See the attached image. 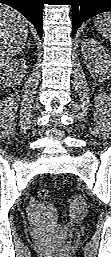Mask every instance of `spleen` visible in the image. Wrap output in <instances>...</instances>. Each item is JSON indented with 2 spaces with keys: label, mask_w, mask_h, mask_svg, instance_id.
<instances>
[{
  "label": "spleen",
  "mask_w": 111,
  "mask_h": 257,
  "mask_svg": "<svg viewBox=\"0 0 111 257\" xmlns=\"http://www.w3.org/2000/svg\"><path fill=\"white\" fill-rule=\"evenodd\" d=\"M97 30L111 42V12L102 13L94 19Z\"/></svg>",
  "instance_id": "3e777b00"
}]
</instances>
